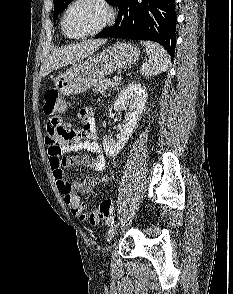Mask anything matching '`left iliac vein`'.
Here are the masks:
<instances>
[{"instance_id": "1", "label": "left iliac vein", "mask_w": 233, "mask_h": 294, "mask_svg": "<svg viewBox=\"0 0 233 294\" xmlns=\"http://www.w3.org/2000/svg\"><path fill=\"white\" fill-rule=\"evenodd\" d=\"M118 226L119 225L117 223H114L109 227V229L107 231V241L108 242L111 241L112 238L114 237V235L116 234V232L118 230Z\"/></svg>"}]
</instances>
